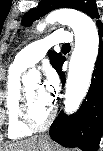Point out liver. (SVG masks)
<instances>
[{
  "label": "liver",
  "mask_w": 103,
  "mask_h": 151,
  "mask_svg": "<svg viewBox=\"0 0 103 151\" xmlns=\"http://www.w3.org/2000/svg\"><path fill=\"white\" fill-rule=\"evenodd\" d=\"M38 137L34 136L25 140L7 145L2 151H35Z\"/></svg>",
  "instance_id": "obj_1"
}]
</instances>
